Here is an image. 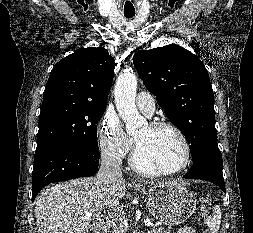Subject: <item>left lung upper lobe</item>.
<instances>
[{"label": "left lung upper lobe", "instance_id": "left-lung-upper-lobe-1", "mask_svg": "<svg viewBox=\"0 0 253 233\" xmlns=\"http://www.w3.org/2000/svg\"><path fill=\"white\" fill-rule=\"evenodd\" d=\"M134 66L167 118L190 143L193 160L221 156L217 146L213 89L201 60L179 45L136 50Z\"/></svg>", "mask_w": 253, "mask_h": 233}]
</instances>
